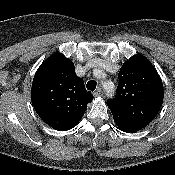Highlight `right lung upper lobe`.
I'll list each match as a JSON object with an SVG mask.
<instances>
[{"instance_id": "obj_1", "label": "right lung upper lobe", "mask_w": 175, "mask_h": 175, "mask_svg": "<svg viewBox=\"0 0 175 175\" xmlns=\"http://www.w3.org/2000/svg\"><path fill=\"white\" fill-rule=\"evenodd\" d=\"M31 99L39 117L49 126L66 131L76 126L93 99L62 53L46 59L35 73Z\"/></svg>"}]
</instances>
